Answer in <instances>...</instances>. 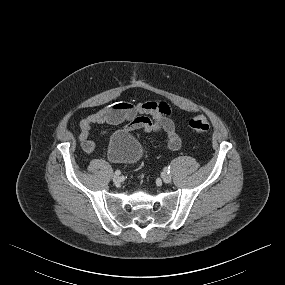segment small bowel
Segmentation results:
<instances>
[{
  "instance_id": "c3829d8e",
  "label": "small bowel",
  "mask_w": 285,
  "mask_h": 285,
  "mask_svg": "<svg viewBox=\"0 0 285 285\" xmlns=\"http://www.w3.org/2000/svg\"><path fill=\"white\" fill-rule=\"evenodd\" d=\"M126 122L125 129L134 131L141 129L144 133L166 136L167 148L177 151L181 146V138L176 132L171 117V109L164 101L116 102L92 113L80 121L78 139L84 151L92 153L95 143L89 138L93 124L117 125Z\"/></svg>"
}]
</instances>
